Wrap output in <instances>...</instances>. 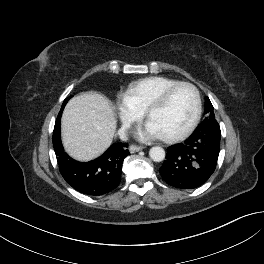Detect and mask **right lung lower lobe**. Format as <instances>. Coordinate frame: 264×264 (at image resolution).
I'll list each match as a JSON object with an SVG mask.
<instances>
[{"mask_svg":"<svg viewBox=\"0 0 264 264\" xmlns=\"http://www.w3.org/2000/svg\"><path fill=\"white\" fill-rule=\"evenodd\" d=\"M62 111L55 122L53 147L63 178L75 190L91 196L104 195L116 188L120 183L123 160L129 155L128 145L115 143L102 156L90 162L73 160L63 150L61 142Z\"/></svg>","mask_w":264,"mask_h":264,"instance_id":"obj_1","label":"right lung lower lobe"}]
</instances>
